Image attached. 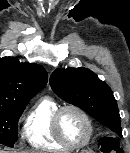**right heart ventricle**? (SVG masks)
Instances as JSON below:
<instances>
[{"instance_id": "e07e8e85", "label": "right heart ventricle", "mask_w": 130, "mask_h": 153, "mask_svg": "<svg viewBox=\"0 0 130 153\" xmlns=\"http://www.w3.org/2000/svg\"><path fill=\"white\" fill-rule=\"evenodd\" d=\"M60 104L49 96L40 98L28 112L23 125V139L34 149L47 152L70 150L56 138L52 117Z\"/></svg>"}]
</instances>
